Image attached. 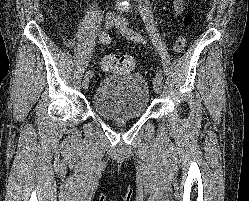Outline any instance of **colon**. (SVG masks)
I'll return each mask as SVG.
<instances>
[{
  "mask_svg": "<svg viewBox=\"0 0 249 201\" xmlns=\"http://www.w3.org/2000/svg\"><path fill=\"white\" fill-rule=\"evenodd\" d=\"M192 21L193 16L190 13H187L183 19L184 25L190 26ZM186 46L187 36L182 34L175 39L173 43V51L175 53H180L186 48ZM103 67L106 70L122 74L131 71L134 67V62L130 56L114 54L104 59Z\"/></svg>",
  "mask_w": 249,
  "mask_h": 201,
  "instance_id": "obj_1",
  "label": "colon"
}]
</instances>
